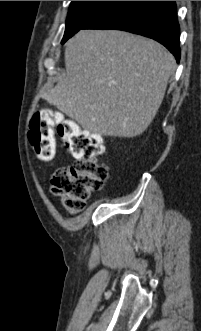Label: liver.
I'll return each instance as SVG.
<instances>
[{
	"label": "liver",
	"mask_w": 201,
	"mask_h": 331,
	"mask_svg": "<svg viewBox=\"0 0 201 331\" xmlns=\"http://www.w3.org/2000/svg\"><path fill=\"white\" fill-rule=\"evenodd\" d=\"M64 58L44 99L94 134L125 138L150 125L176 68L160 43L119 30L79 31Z\"/></svg>",
	"instance_id": "obj_1"
}]
</instances>
